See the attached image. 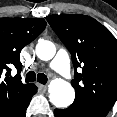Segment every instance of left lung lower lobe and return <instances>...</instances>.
<instances>
[{"instance_id":"obj_1","label":"left lung lower lobe","mask_w":117,"mask_h":117,"mask_svg":"<svg viewBox=\"0 0 117 117\" xmlns=\"http://www.w3.org/2000/svg\"><path fill=\"white\" fill-rule=\"evenodd\" d=\"M109 110L86 104L73 103L67 109H55V117H105Z\"/></svg>"}]
</instances>
